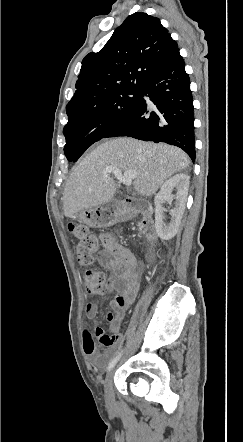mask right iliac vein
<instances>
[{
	"label": "right iliac vein",
	"mask_w": 243,
	"mask_h": 442,
	"mask_svg": "<svg viewBox=\"0 0 243 442\" xmlns=\"http://www.w3.org/2000/svg\"><path fill=\"white\" fill-rule=\"evenodd\" d=\"M113 375L114 369H112L104 380V398L109 407H113L115 403L114 391H113Z\"/></svg>",
	"instance_id": "1"
}]
</instances>
